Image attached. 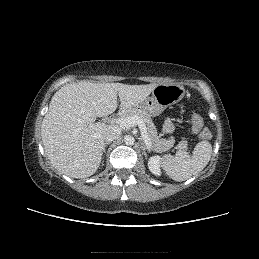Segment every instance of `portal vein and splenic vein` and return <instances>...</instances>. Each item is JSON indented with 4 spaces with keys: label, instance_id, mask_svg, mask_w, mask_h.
Returning <instances> with one entry per match:
<instances>
[{
    "label": "portal vein and splenic vein",
    "instance_id": "obj_1",
    "mask_svg": "<svg viewBox=\"0 0 259 259\" xmlns=\"http://www.w3.org/2000/svg\"><path fill=\"white\" fill-rule=\"evenodd\" d=\"M111 122H114L126 128L138 126L145 144L148 147H150V140L147 134L146 125L144 121L140 119L138 116L120 117V118L112 119Z\"/></svg>",
    "mask_w": 259,
    "mask_h": 259
}]
</instances>
